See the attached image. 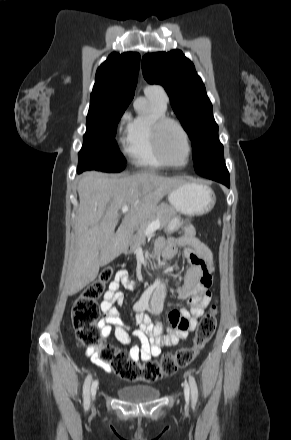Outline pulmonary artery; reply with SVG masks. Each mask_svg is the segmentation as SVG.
<instances>
[{
	"label": "pulmonary artery",
	"mask_w": 291,
	"mask_h": 440,
	"mask_svg": "<svg viewBox=\"0 0 291 440\" xmlns=\"http://www.w3.org/2000/svg\"><path fill=\"white\" fill-rule=\"evenodd\" d=\"M145 94L156 98L163 104H167L168 102V95L161 85L154 84L146 86Z\"/></svg>",
	"instance_id": "e3ab8cb5"
}]
</instances>
